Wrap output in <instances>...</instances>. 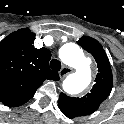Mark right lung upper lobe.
<instances>
[{
  "mask_svg": "<svg viewBox=\"0 0 124 124\" xmlns=\"http://www.w3.org/2000/svg\"><path fill=\"white\" fill-rule=\"evenodd\" d=\"M35 34L28 28L19 29L0 42V101L16 107L30 100L46 80H59L50 70L51 52L36 49Z\"/></svg>",
  "mask_w": 124,
  "mask_h": 124,
  "instance_id": "right-lung-upper-lobe-1",
  "label": "right lung upper lobe"
}]
</instances>
